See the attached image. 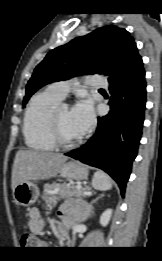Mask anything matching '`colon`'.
<instances>
[{
  "mask_svg": "<svg viewBox=\"0 0 162 261\" xmlns=\"http://www.w3.org/2000/svg\"><path fill=\"white\" fill-rule=\"evenodd\" d=\"M43 243L33 234L24 233L21 237V246L24 248L40 247Z\"/></svg>",
  "mask_w": 162,
  "mask_h": 261,
  "instance_id": "colon-1",
  "label": "colon"
}]
</instances>
